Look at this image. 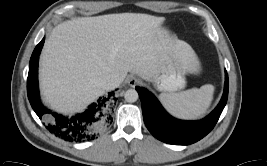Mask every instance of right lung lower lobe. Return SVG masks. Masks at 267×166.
I'll list each match as a JSON object with an SVG mask.
<instances>
[{
  "label": "right lung lower lobe",
  "mask_w": 267,
  "mask_h": 166,
  "mask_svg": "<svg viewBox=\"0 0 267 166\" xmlns=\"http://www.w3.org/2000/svg\"><path fill=\"white\" fill-rule=\"evenodd\" d=\"M44 44V38L34 49L27 79V94L30 104L47 130L56 137L68 142L93 140L112 122V112L117 98L113 92L100 97L81 113L64 116L45 108L40 102L38 90V60Z\"/></svg>",
  "instance_id": "98d812e1"
}]
</instances>
